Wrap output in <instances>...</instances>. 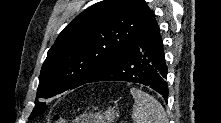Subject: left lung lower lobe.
<instances>
[{"instance_id":"1","label":"left lung lower lobe","mask_w":221,"mask_h":123,"mask_svg":"<svg viewBox=\"0 0 221 123\" xmlns=\"http://www.w3.org/2000/svg\"><path fill=\"white\" fill-rule=\"evenodd\" d=\"M167 67L156 20L136 40L96 72L87 83L127 81L149 86L167 101Z\"/></svg>"}]
</instances>
